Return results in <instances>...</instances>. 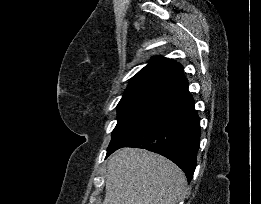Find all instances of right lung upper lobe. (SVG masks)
<instances>
[{
  "label": "right lung upper lobe",
  "mask_w": 261,
  "mask_h": 204,
  "mask_svg": "<svg viewBox=\"0 0 261 204\" xmlns=\"http://www.w3.org/2000/svg\"><path fill=\"white\" fill-rule=\"evenodd\" d=\"M188 83L183 67L168 58L154 57L129 82L124 95L140 92L170 94Z\"/></svg>",
  "instance_id": "obj_1"
}]
</instances>
